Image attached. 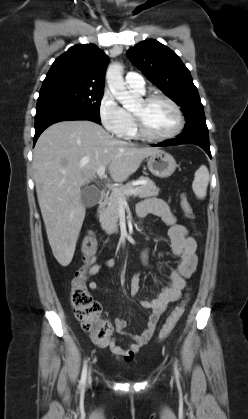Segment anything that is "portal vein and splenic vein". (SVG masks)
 <instances>
[{
	"label": "portal vein and splenic vein",
	"instance_id": "1",
	"mask_svg": "<svg viewBox=\"0 0 248 419\" xmlns=\"http://www.w3.org/2000/svg\"><path fill=\"white\" fill-rule=\"evenodd\" d=\"M97 175L100 179H103L105 177V166H101V167L98 168ZM112 190L115 191L116 188H113ZM136 192H137L136 190H128L125 193L126 194H135Z\"/></svg>",
	"mask_w": 248,
	"mask_h": 419
}]
</instances>
